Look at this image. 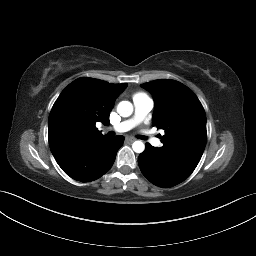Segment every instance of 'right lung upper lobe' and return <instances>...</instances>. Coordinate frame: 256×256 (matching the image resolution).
Returning <instances> with one entry per match:
<instances>
[{
	"label": "right lung upper lobe",
	"instance_id": "cb5924a9",
	"mask_svg": "<svg viewBox=\"0 0 256 256\" xmlns=\"http://www.w3.org/2000/svg\"><path fill=\"white\" fill-rule=\"evenodd\" d=\"M127 87L99 79L79 78L70 83L49 115L48 138L52 154L67 147L102 137L96 122L110 123L115 99Z\"/></svg>",
	"mask_w": 256,
	"mask_h": 256
}]
</instances>
